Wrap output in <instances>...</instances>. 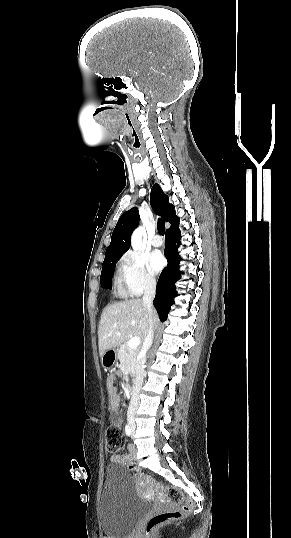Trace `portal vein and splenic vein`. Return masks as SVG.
I'll return each mask as SVG.
<instances>
[{
	"instance_id": "1",
	"label": "portal vein and splenic vein",
	"mask_w": 291,
	"mask_h": 538,
	"mask_svg": "<svg viewBox=\"0 0 291 538\" xmlns=\"http://www.w3.org/2000/svg\"><path fill=\"white\" fill-rule=\"evenodd\" d=\"M140 342H141L140 337L135 336V337H133V338H131V339L129 340V342H128V346H129L130 348H137V347L139 346Z\"/></svg>"
}]
</instances>
